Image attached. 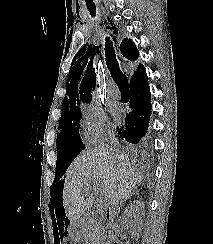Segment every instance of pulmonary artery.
<instances>
[{
	"label": "pulmonary artery",
	"mask_w": 213,
	"mask_h": 244,
	"mask_svg": "<svg viewBox=\"0 0 213 244\" xmlns=\"http://www.w3.org/2000/svg\"><path fill=\"white\" fill-rule=\"evenodd\" d=\"M107 92H108V95L113 98H116L119 95V92H118L115 84H111L108 87Z\"/></svg>",
	"instance_id": "e3ab8cb5"
}]
</instances>
